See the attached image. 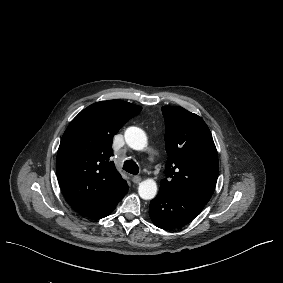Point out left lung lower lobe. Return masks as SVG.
I'll return each mask as SVG.
<instances>
[{"label":"left lung lower lobe","mask_w":283,"mask_h":283,"mask_svg":"<svg viewBox=\"0 0 283 283\" xmlns=\"http://www.w3.org/2000/svg\"><path fill=\"white\" fill-rule=\"evenodd\" d=\"M204 206L197 200L160 190L151 200L149 215L157 227L170 230L188 224Z\"/></svg>","instance_id":"left-lung-lower-lobe-1"}]
</instances>
